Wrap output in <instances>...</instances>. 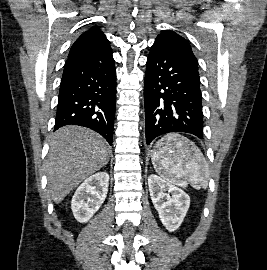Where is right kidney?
Returning <instances> with one entry per match:
<instances>
[{
    "instance_id": "1",
    "label": "right kidney",
    "mask_w": 267,
    "mask_h": 270,
    "mask_svg": "<svg viewBox=\"0 0 267 270\" xmlns=\"http://www.w3.org/2000/svg\"><path fill=\"white\" fill-rule=\"evenodd\" d=\"M108 185V173L98 172L77 188L71 201V209L78 222H88L101 207L107 196Z\"/></svg>"
}]
</instances>
